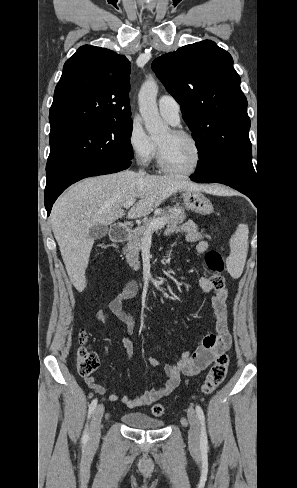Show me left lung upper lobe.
Returning <instances> with one entry per match:
<instances>
[{
    "instance_id": "obj_1",
    "label": "left lung upper lobe",
    "mask_w": 297,
    "mask_h": 488,
    "mask_svg": "<svg viewBox=\"0 0 297 488\" xmlns=\"http://www.w3.org/2000/svg\"><path fill=\"white\" fill-rule=\"evenodd\" d=\"M152 69L180 104L198 143L194 174L233 172L255 182L247 99L231 55L204 40L158 57Z\"/></svg>"
}]
</instances>
